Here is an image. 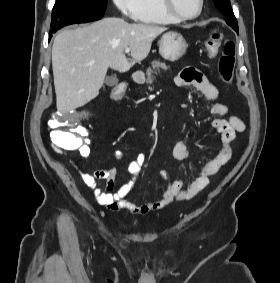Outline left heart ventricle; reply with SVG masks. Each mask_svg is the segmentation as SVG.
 Listing matches in <instances>:
<instances>
[{"label":"left heart ventricle","mask_w":280,"mask_h":283,"mask_svg":"<svg viewBox=\"0 0 280 283\" xmlns=\"http://www.w3.org/2000/svg\"><path fill=\"white\" fill-rule=\"evenodd\" d=\"M175 9L183 15H193L199 8V0H172Z\"/></svg>","instance_id":"obj_1"}]
</instances>
